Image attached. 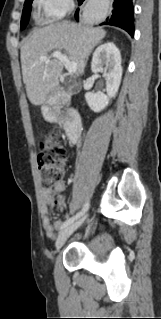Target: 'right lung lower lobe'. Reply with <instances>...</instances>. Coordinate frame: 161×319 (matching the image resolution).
Wrapping results in <instances>:
<instances>
[{
	"instance_id": "98d812e1",
	"label": "right lung lower lobe",
	"mask_w": 161,
	"mask_h": 319,
	"mask_svg": "<svg viewBox=\"0 0 161 319\" xmlns=\"http://www.w3.org/2000/svg\"><path fill=\"white\" fill-rule=\"evenodd\" d=\"M84 0H78L81 4ZM79 9L75 12V19L78 20ZM103 24L118 26L134 36V10L132 0H113V10Z\"/></svg>"
}]
</instances>
